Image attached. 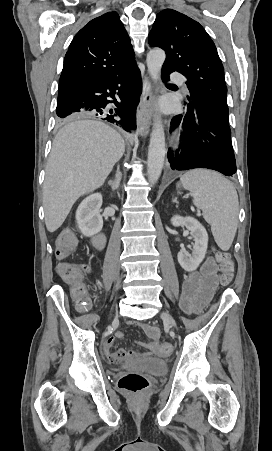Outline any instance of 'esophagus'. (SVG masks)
<instances>
[{
  "label": "esophagus",
  "mask_w": 272,
  "mask_h": 451,
  "mask_svg": "<svg viewBox=\"0 0 272 451\" xmlns=\"http://www.w3.org/2000/svg\"><path fill=\"white\" fill-rule=\"evenodd\" d=\"M153 104V87L150 81L145 78L142 88L140 103L137 107V119L139 131L142 137L148 135L151 126V114Z\"/></svg>",
  "instance_id": "obj_1"
}]
</instances>
